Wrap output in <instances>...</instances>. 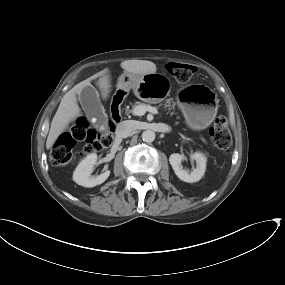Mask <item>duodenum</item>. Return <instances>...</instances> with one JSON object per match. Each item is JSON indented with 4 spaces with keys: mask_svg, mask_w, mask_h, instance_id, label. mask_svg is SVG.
I'll list each match as a JSON object with an SVG mask.
<instances>
[{
    "mask_svg": "<svg viewBox=\"0 0 285 285\" xmlns=\"http://www.w3.org/2000/svg\"><path fill=\"white\" fill-rule=\"evenodd\" d=\"M123 103V96L116 94L113 97L110 113L113 121L118 124L121 121V108Z\"/></svg>",
    "mask_w": 285,
    "mask_h": 285,
    "instance_id": "410a0bca",
    "label": "duodenum"
}]
</instances>
